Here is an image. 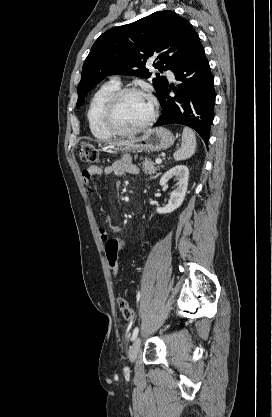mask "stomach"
<instances>
[{"label":"stomach","mask_w":272,"mask_h":417,"mask_svg":"<svg viewBox=\"0 0 272 417\" xmlns=\"http://www.w3.org/2000/svg\"><path fill=\"white\" fill-rule=\"evenodd\" d=\"M174 135L164 127H157L146 130L138 137H131L126 140L110 142L104 145L105 152L115 154L117 152H159L166 150L173 145Z\"/></svg>","instance_id":"0dacf381"}]
</instances>
